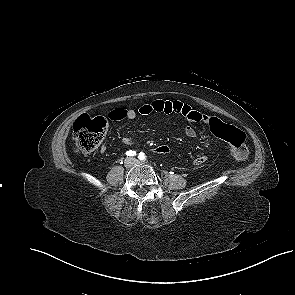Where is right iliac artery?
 Listing matches in <instances>:
<instances>
[{
    "label": "right iliac artery",
    "instance_id": "82829eb1",
    "mask_svg": "<svg viewBox=\"0 0 295 295\" xmlns=\"http://www.w3.org/2000/svg\"><path fill=\"white\" fill-rule=\"evenodd\" d=\"M126 155L127 156H135L136 155V152L133 151V150H129V151L126 152Z\"/></svg>",
    "mask_w": 295,
    "mask_h": 295
}]
</instances>
